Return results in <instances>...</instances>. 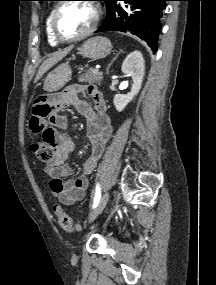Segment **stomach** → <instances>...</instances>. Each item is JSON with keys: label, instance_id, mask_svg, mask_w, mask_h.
Here are the masks:
<instances>
[{"label": "stomach", "instance_id": "1", "mask_svg": "<svg viewBox=\"0 0 216 285\" xmlns=\"http://www.w3.org/2000/svg\"><path fill=\"white\" fill-rule=\"evenodd\" d=\"M111 49L112 45L109 39L96 36L85 41L78 51L85 58L97 60L106 57ZM71 76L72 70L68 63L59 65L47 75L44 81V90L48 92L59 91L70 81Z\"/></svg>", "mask_w": 216, "mask_h": 285}]
</instances>
